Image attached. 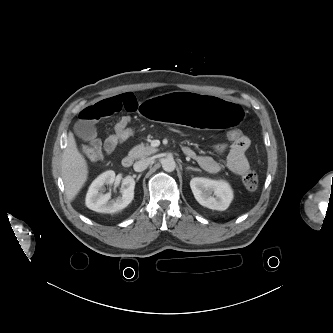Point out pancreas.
I'll use <instances>...</instances> for the list:
<instances>
[{
    "mask_svg": "<svg viewBox=\"0 0 333 333\" xmlns=\"http://www.w3.org/2000/svg\"><path fill=\"white\" fill-rule=\"evenodd\" d=\"M158 149L153 148L149 145H144L143 143L133 147L130 152L129 155L133 158H137V159H144L147 156H150L151 154L157 152Z\"/></svg>",
    "mask_w": 333,
    "mask_h": 333,
    "instance_id": "pancreas-1",
    "label": "pancreas"
}]
</instances>
